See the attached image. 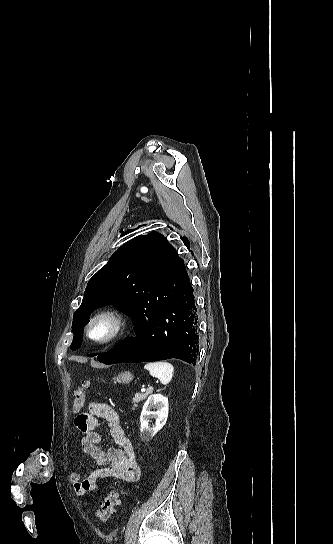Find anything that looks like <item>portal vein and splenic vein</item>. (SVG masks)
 <instances>
[{
    "label": "portal vein and splenic vein",
    "instance_id": "portal-vein-and-splenic-vein-1",
    "mask_svg": "<svg viewBox=\"0 0 333 544\" xmlns=\"http://www.w3.org/2000/svg\"><path fill=\"white\" fill-rule=\"evenodd\" d=\"M151 390H152V387H149V388H148V391H151ZM141 391H142V392H145L146 389L143 388V389H141Z\"/></svg>",
    "mask_w": 333,
    "mask_h": 544
}]
</instances>
